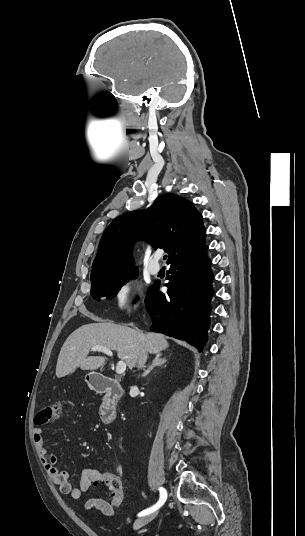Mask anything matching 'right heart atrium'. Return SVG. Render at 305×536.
<instances>
[{
    "mask_svg": "<svg viewBox=\"0 0 305 536\" xmlns=\"http://www.w3.org/2000/svg\"><path fill=\"white\" fill-rule=\"evenodd\" d=\"M134 288L130 282L123 283L120 285L114 293V304L120 310L128 309L133 307L134 298H133Z\"/></svg>",
    "mask_w": 305,
    "mask_h": 536,
    "instance_id": "right-heart-atrium-1",
    "label": "right heart atrium"
}]
</instances>
